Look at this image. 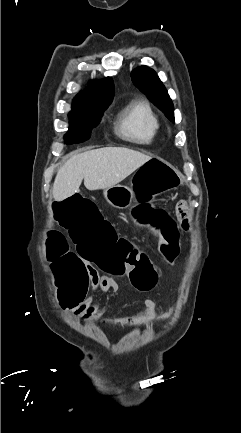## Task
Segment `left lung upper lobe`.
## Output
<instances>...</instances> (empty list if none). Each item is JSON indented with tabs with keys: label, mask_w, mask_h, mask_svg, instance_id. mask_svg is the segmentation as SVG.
Listing matches in <instances>:
<instances>
[{
	"label": "left lung upper lobe",
	"mask_w": 241,
	"mask_h": 433,
	"mask_svg": "<svg viewBox=\"0 0 241 433\" xmlns=\"http://www.w3.org/2000/svg\"><path fill=\"white\" fill-rule=\"evenodd\" d=\"M131 77L137 87L146 94L170 120L174 121L173 103L166 88L154 70L147 66H141L132 72Z\"/></svg>",
	"instance_id": "5c2ea615"
}]
</instances>
